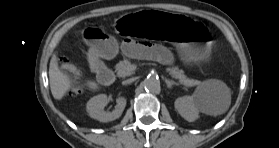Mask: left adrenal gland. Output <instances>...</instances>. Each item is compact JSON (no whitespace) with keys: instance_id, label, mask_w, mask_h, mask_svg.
Listing matches in <instances>:
<instances>
[{"instance_id":"a2214340","label":"left adrenal gland","mask_w":279,"mask_h":148,"mask_svg":"<svg viewBox=\"0 0 279 148\" xmlns=\"http://www.w3.org/2000/svg\"><path fill=\"white\" fill-rule=\"evenodd\" d=\"M165 82H166V84H167V87L169 88V89H172V86L173 85H176V86H178L179 84L178 83H176V82H174V81H172V80H169V79H165Z\"/></svg>"}]
</instances>
